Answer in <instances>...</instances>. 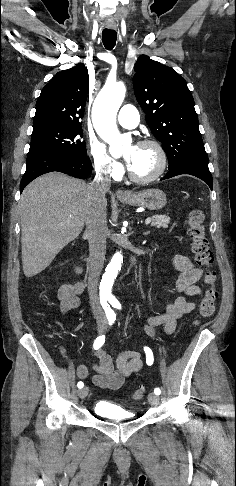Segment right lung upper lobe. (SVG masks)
<instances>
[{
	"instance_id": "obj_1",
	"label": "right lung upper lobe",
	"mask_w": 236,
	"mask_h": 486,
	"mask_svg": "<svg viewBox=\"0 0 236 486\" xmlns=\"http://www.w3.org/2000/svg\"><path fill=\"white\" fill-rule=\"evenodd\" d=\"M88 88V71L83 63L58 72L41 91L33 127L81 126Z\"/></svg>"
}]
</instances>
